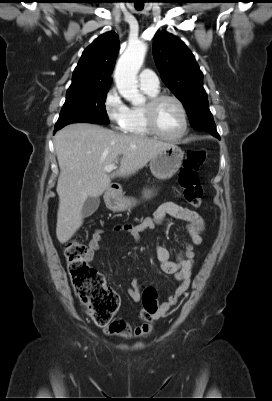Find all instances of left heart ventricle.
I'll use <instances>...</instances> for the list:
<instances>
[{
    "instance_id": "b2bd125f",
    "label": "left heart ventricle",
    "mask_w": 272,
    "mask_h": 401,
    "mask_svg": "<svg viewBox=\"0 0 272 401\" xmlns=\"http://www.w3.org/2000/svg\"><path fill=\"white\" fill-rule=\"evenodd\" d=\"M160 130L168 136H176L183 129V116L178 105L170 100L164 101L157 111Z\"/></svg>"
}]
</instances>
